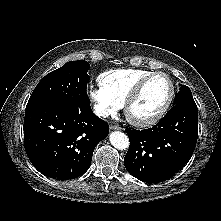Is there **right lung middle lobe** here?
<instances>
[{
    "instance_id": "dd1d6c3e",
    "label": "right lung middle lobe",
    "mask_w": 221,
    "mask_h": 221,
    "mask_svg": "<svg viewBox=\"0 0 221 221\" xmlns=\"http://www.w3.org/2000/svg\"><path fill=\"white\" fill-rule=\"evenodd\" d=\"M88 70V62L70 61L50 72L37 84L26 110L53 105L75 108L89 101L86 92Z\"/></svg>"
}]
</instances>
